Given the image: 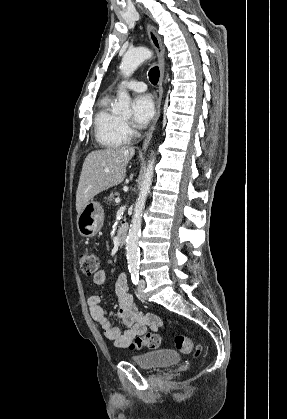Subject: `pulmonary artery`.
Masks as SVG:
<instances>
[{"label":"pulmonary artery","mask_w":287,"mask_h":419,"mask_svg":"<svg viewBox=\"0 0 287 419\" xmlns=\"http://www.w3.org/2000/svg\"><path fill=\"white\" fill-rule=\"evenodd\" d=\"M120 88H125V89H129V90H132V91L142 92V91L146 90L147 86L144 82L130 81V82L121 84Z\"/></svg>","instance_id":"1"}]
</instances>
